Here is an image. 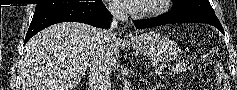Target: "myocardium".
I'll use <instances>...</instances> for the list:
<instances>
[{"label": "myocardium", "mask_w": 237, "mask_h": 90, "mask_svg": "<svg viewBox=\"0 0 237 90\" xmlns=\"http://www.w3.org/2000/svg\"><path fill=\"white\" fill-rule=\"evenodd\" d=\"M161 3H168V0L147 1L138 7L130 8V10L140 19L146 20L151 16H156L164 12V7Z\"/></svg>", "instance_id": "myocardium-1"}]
</instances>
